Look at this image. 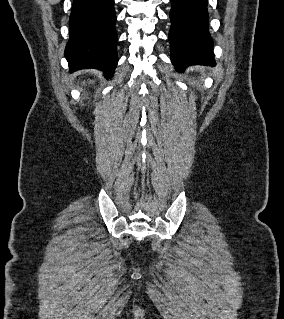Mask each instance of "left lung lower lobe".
I'll use <instances>...</instances> for the list:
<instances>
[{"mask_svg":"<svg viewBox=\"0 0 284 319\" xmlns=\"http://www.w3.org/2000/svg\"><path fill=\"white\" fill-rule=\"evenodd\" d=\"M171 60L179 72L190 65L214 66L212 40L208 31L207 0H170Z\"/></svg>","mask_w":284,"mask_h":319,"instance_id":"1","label":"left lung lower lobe"}]
</instances>
